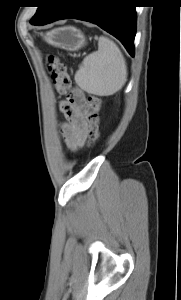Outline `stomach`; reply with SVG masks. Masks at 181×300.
Returning <instances> with one entry per match:
<instances>
[{"label":"stomach","instance_id":"obj_1","mask_svg":"<svg viewBox=\"0 0 181 300\" xmlns=\"http://www.w3.org/2000/svg\"><path fill=\"white\" fill-rule=\"evenodd\" d=\"M43 38L48 44L67 51H77L86 45L83 33L72 26L53 29L47 32Z\"/></svg>","mask_w":181,"mask_h":300}]
</instances>
